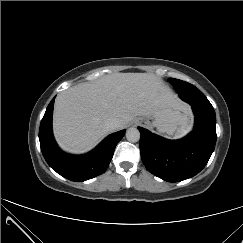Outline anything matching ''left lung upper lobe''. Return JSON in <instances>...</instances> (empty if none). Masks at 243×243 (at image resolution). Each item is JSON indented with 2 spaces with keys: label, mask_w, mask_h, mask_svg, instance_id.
Instances as JSON below:
<instances>
[{
  "label": "left lung upper lobe",
  "mask_w": 243,
  "mask_h": 243,
  "mask_svg": "<svg viewBox=\"0 0 243 243\" xmlns=\"http://www.w3.org/2000/svg\"><path fill=\"white\" fill-rule=\"evenodd\" d=\"M170 83L173 85V87L175 88V90H179L182 88H185L189 85V83L179 80V79H174V78H169ZM207 104H211L208 99H207Z\"/></svg>",
  "instance_id": "left-lung-upper-lobe-1"
}]
</instances>
